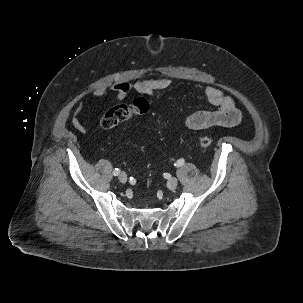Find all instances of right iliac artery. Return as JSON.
Segmentation results:
<instances>
[{"label": "right iliac artery", "instance_id": "82829eb1", "mask_svg": "<svg viewBox=\"0 0 303 303\" xmlns=\"http://www.w3.org/2000/svg\"><path fill=\"white\" fill-rule=\"evenodd\" d=\"M119 173H120V169L115 168L114 171H113V175H114V176H118Z\"/></svg>", "mask_w": 303, "mask_h": 303}]
</instances>
